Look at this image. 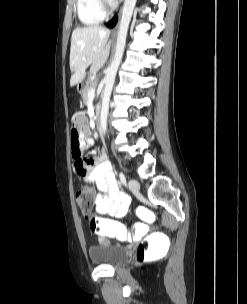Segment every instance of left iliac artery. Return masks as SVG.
<instances>
[{"instance_id":"44dca946","label":"left iliac artery","mask_w":247,"mask_h":304,"mask_svg":"<svg viewBox=\"0 0 247 304\" xmlns=\"http://www.w3.org/2000/svg\"><path fill=\"white\" fill-rule=\"evenodd\" d=\"M119 178H120L121 183L123 185H125L126 184V177L122 172L119 173Z\"/></svg>"}]
</instances>
